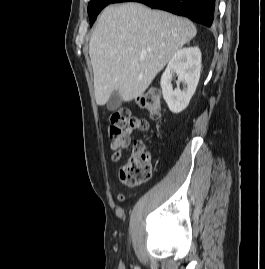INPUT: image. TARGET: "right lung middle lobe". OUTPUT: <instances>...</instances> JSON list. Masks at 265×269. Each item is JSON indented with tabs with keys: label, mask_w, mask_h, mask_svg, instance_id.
I'll list each match as a JSON object with an SVG mask.
<instances>
[{
	"label": "right lung middle lobe",
	"mask_w": 265,
	"mask_h": 269,
	"mask_svg": "<svg viewBox=\"0 0 265 269\" xmlns=\"http://www.w3.org/2000/svg\"><path fill=\"white\" fill-rule=\"evenodd\" d=\"M114 0H90L88 4V14L90 18V25L94 23L99 12L108 4L112 3Z\"/></svg>",
	"instance_id": "obj_1"
}]
</instances>
